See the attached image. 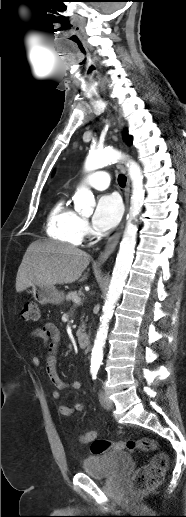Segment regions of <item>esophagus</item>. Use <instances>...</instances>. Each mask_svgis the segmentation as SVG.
Listing matches in <instances>:
<instances>
[{"label":"esophagus","instance_id":"34e87169","mask_svg":"<svg viewBox=\"0 0 186 517\" xmlns=\"http://www.w3.org/2000/svg\"><path fill=\"white\" fill-rule=\"evenodd\" d=\"M118 120H119V123L121 124V126L123 127V123H121L120 117L118 118ZM129 194H130V180H129V178H127V183H126V188H125V214L127 213V209H128ZM124 221H125V217H124L123 221L121 222L119 228L116 230V232L108 239L103 251L100 253L98 259L96 260V264H98V265L104 264L107 261V259L109 258V256L114 252L116 246L119 243V240H120V237H121V234L123 231Z\"/></svg>","mask_w":186,"mask_h":517}]
</instances>
